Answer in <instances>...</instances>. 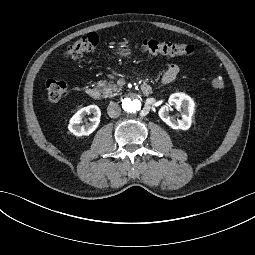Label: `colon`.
<instances>
[{
    "mask_svg": "<svg viewBox=\"0 0 255 255\" xmlns=\"http://www.w3.org/2000/svg\"><path fill=\"white\" fill-rule=\"evenodd\" d=\"M99 43V38L95 33H88L71 44L65 51V57L71 60H78L87 53L95 52ZM141 50L151 55L166 56H189L195 51L193 45L185 43H172L168 41H157L153 39H144L141 43ZM211 85L215 89H223L224 81L222 78H215ZM47 98L51 103L59 102L67 91V84L61 80L50 79L46 83Z\"/></svg>",
    "mask_w": 255,
    "mask_h": 255,
    "instance_id": "colon-1",
    "label": "colon"
}]
</instances>
